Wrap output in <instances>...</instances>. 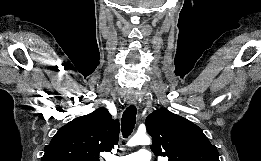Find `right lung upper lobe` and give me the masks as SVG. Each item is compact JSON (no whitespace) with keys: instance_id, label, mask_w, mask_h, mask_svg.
Returning a JSON list of instances; mask_svg holds the SVG:
<instances>
[{"instance_id":"cb5924a9","label":"right lung upper lobe","mask_w":261,"mask_h":161,"mask_svg":"<svg viewBox=\"0 0 261 161\" xmlns=\"http://www.w3.org/2000/svg\"><path fill=\"white\" fill-rule=\"evenodd\" d=\"M118 138V120L101 107L61 127L41 161H99V153L111 151Z\"/></svg>"}]
</instances>
